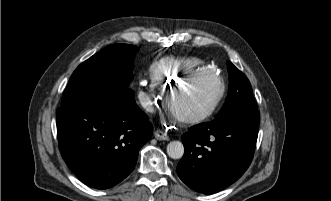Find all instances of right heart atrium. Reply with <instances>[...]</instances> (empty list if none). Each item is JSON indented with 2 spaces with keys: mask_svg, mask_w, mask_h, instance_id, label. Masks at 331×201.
<instances>
[{
  "mask_svg": "<svg viewBox=\"0 0 331 201\" xmlns=\"http://www.w3.org/2000/svg\"><path fill=\"white\" fill-rule=\"evenodd\" d=\"M138 97L144 108L148 110L155 108L159 100L157 85L153 81L142 82L139 86Z\"/></svg>",
  "mask_w": 331,
  "mask_h": 201,
  "instance_id": "right-heart-atrium-1",
  "label": "right heart atrium"
}]
</instances>
